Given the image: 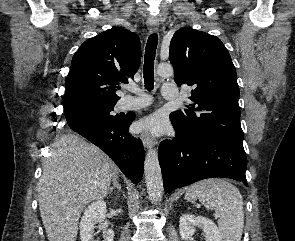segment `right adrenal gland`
Segmentation results:
<instances>
[{"label": "right adrenal gland", "mask_w": 295, "mask_h": 241, "mask_svg": "<svg viewBox=\"0 0 295 241\" xmlns=\"http://www.w3.org/2000/svg\"><path fill=\"white\" fill-rule=\"evenodd\" d=\"M113 187H110V191L113 192L115 188H117L119 191L121 190V186L119 184L118 175H115L112 179Z\"/></svg>", "instance_id": "1"}]
</instances>
